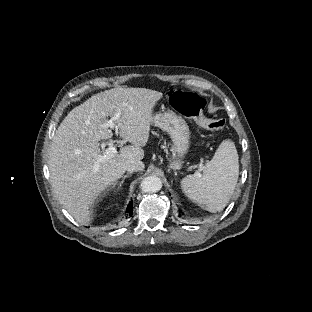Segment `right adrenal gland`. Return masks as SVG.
<instances>
[{"label":"right adrenal gland","mask_w":312,"mask_h":312,"mask_svg":"<svg viewBox=\"0 0 312 312\" xmlns=\"http://www.w3.org/2000/svg\"><path fill=\"white\" fill-rule=\"evenodd\" d=\"M130 174H126L124 177H123V180L120 182V184L117 186V188L114 190L115 193L119 192L120 188L122 187L125 179L129 176Z\"/></svg>","instance_id":"obj_1"}]
</instances>
